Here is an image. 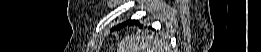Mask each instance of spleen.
<instances>
[{
    "instance_id": "1",
    "label": "spleen",
    "mask_w": 261,
    "mask_h": 52,
    "mask_svg": "<svg viewBox=\"0 0 261 52\" xmlns=\"http://www.w3.org/2000/svg\"><path fill=\"white\" fill-rule=\"evenodd\" d=\"M153 50H155V52H160V50H163V46L161 45V46H158V47H156L155 49H153ZM158 50V51H157ZM144 52H153V51H144ZM161 52H163V51H161Z\"/></svg>"
}]
</instances>
